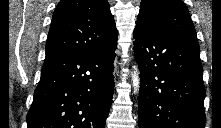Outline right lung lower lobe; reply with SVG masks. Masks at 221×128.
Returning a JSON list of instances; mask_svg holds the SVG:
<instances>
[{"label": "right lung lower lobe", "instance_id": "98d812e1", "mask_svg": "<svg viewBox=\"0 0 221 128\" xmlns=\"http://www.w3.org/2000/svg\"><path fill=\"white\" fill-rule=\"evenodd\" d=\"M116 41L45 60L28 128H104L114 93Z\"/></svg>", "mask_w": 221, "mask_h": 128}]
</instances>
